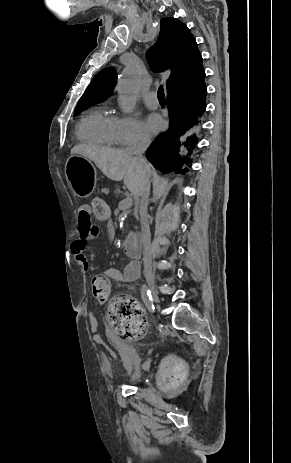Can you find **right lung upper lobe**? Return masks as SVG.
<instances>
[{
    "label": "right lung upper lobe",
    "mask_w": 291,
    "mask_h": 463,
    "mask_svg": "<svg viewBox=\"0 0 291 463\" xmlns=\"http://www.w3.org/2000/svg\"><path fill=\"white\" fill-rule=\"evenodd\" d=\"M160 34L155 46L147 53L149 63L155 70H171L166 82L167 92L193 89L204 72L202 56L190 30L175 18H163ZM116 83L112 68L100 71L80 98L79 104H94L108 98Z\"/></svg>",
    "instance_id": "cb5924a9"
}]
</instances>
